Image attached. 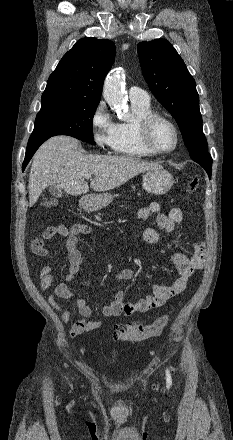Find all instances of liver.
I'll list each match as a JSON object with an SVG mask.
<instances>
[{"instance_id":"6515ba94","label":"liver","mask_w":233,"mask_h":440,"mask_svg":"<svg viewBox=\"0 0 233 440\" xmlns=\"http://www.w3.org/2000/svg\"><path fill=\"white\" fill-rule=\"evenodd\" d=\"M161 167L157 163L129 156L86 155L79 141L70 136H54L36 152L29 174V205L33 206L48 186L63 189L70 195L89 192L84 179L94 175L90 187L105 192L126 183L139 173Z\"/></svg>"}]
</instances>
